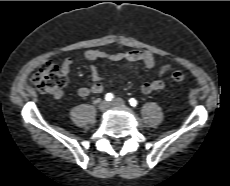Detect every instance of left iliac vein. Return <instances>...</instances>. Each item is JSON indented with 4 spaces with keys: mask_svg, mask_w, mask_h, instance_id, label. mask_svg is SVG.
Wrapping results in <instances>:
<instances>
[{
    "mask_svg": "<svg viewBox=\"0 0 230 186\" xmlns=\"http://www.w3.org/2000/svg\"><path fill=\"white\" fill-rule=\"evenodd\" d=\"M112 106H117V107H124L125 102L121 98H116L111 102Z\"/></svg>",
    "mask_w": 230,
    "mask_h": 186,
    "instance_id": "1",
    "label": "left iliac vein"
}]
</instances>
